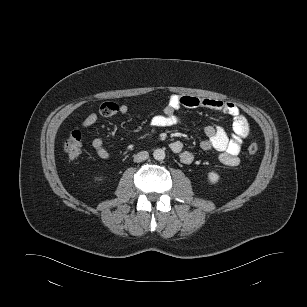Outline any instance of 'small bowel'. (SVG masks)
<instances>
[{
    "mask_svg": "<svg viewBox=\"0 0 307 307\" xmlns=\"http://www.w3.org/2000/svg\"><path fill=\"white\" fill-rule=\"evenodd\" d=\"M181 107L196 108L205 107L208 109L220 111L233 118V133L229 137L226 131L217 126L208 125L204 128L205 138L200 142L203 150L214 149L220 153L221 162L230 167L237 166L240 162L239 153L243 141L250 134V124L247 118L240 112L236 104L229 101H220L208 98H199L190 95H172L165 106L162 114L152 117L151 125L157 128H164L177 125L181 122L177 111ZM130 108L127 104H116L114 102H105L99 108V114L104 117H112L117 114H127ZM98 120L97 113L88 114L82 121L83 128L93 126ZM97 156L102 160H108L110 153L105 148L103 140L95 138L92 143ZM171 150L178 155L180 161L184 164H190L193 161V154L184 149L182 142L174 141L170 144Z\"/></svg>",
    "mask_w": 307,
    "mask_h": 307,
    "instance_id": "c3829d8e",
    "label": "small bowel"
}]
</instances>
